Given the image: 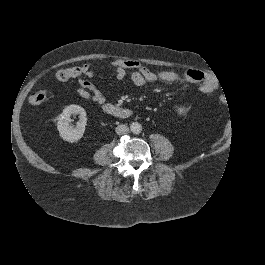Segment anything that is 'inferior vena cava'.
Returning <instances> with one entry per match:
<instances>
[{"mask_svg":"<svg viewBox=\"0 0 265 265\" xmlns=\"http://www.w3.org/2000/svg\"><path fill=\"white\" fill-rule=\"evenodd\" d=\"M115 131H116V133L118 135H124V134H127L129 132V128H128V126L122 124V125H118L116 127V130Z\"/></svg>","mask_w":265,"mask_h":265,"instance_id":"1","label":"inferior vena cava"}]
</instances>
